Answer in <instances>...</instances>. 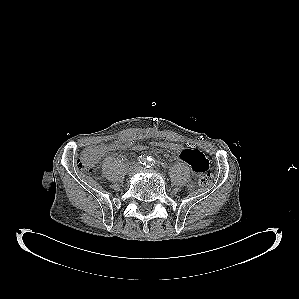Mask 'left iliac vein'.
<instances>
[{
  "instance_id": "left-iliac-vein-1",
  "label": "left iliac vein",
  "mask_w": 299,
  "mask_h": 299,
  "mask_svg": "<svg viewBox=\"0 0 299 299\" xmlns=\"http://www.w3.org/2000/svg\"><path fill=\"white\" fill-rule=\"evenodd\" d=\"M138 169H143V167L142 166H138Z\"/></svg>"
}]
</instances>
